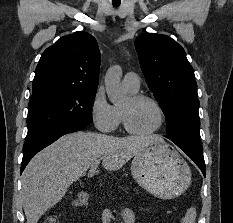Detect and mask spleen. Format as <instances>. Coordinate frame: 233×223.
I'll return each instance as SVG.
<instances>
[{"label":"spleen","instance_id":"1","mask_svg":"<svg viewBox=\"0 0 233 223\" xmlns=\"http://www.w3.org/2000/svg\"><path fill=\"white\" fill-rule=\"evenodd\" d=\"M196 207H189L187 209L181 223H195L196 221Z\"/></svg>","mask_w":233,"mask_h":223}]
</instances>
